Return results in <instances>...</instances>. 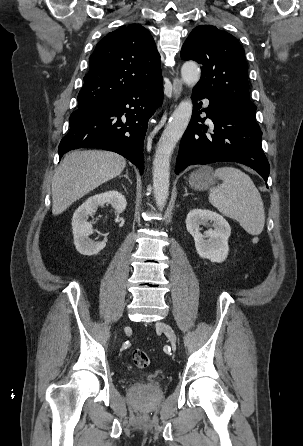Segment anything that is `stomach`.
I'll list each match as a JSON object with an SVG mask.
<instances>
[{
	"mask_svg": "<svg viewBox=\"0 0 303 446\" xmlns=\"http://www.w3.org/2000/svg\"><path fill=\"white\" fill-rule=\"evenodd\" d=\"M216 183V177L210 167H202L193 172L189 177V184L196 190H207Z\"/></svg>",
	"mask_w": 303,
	"mask_h": 446,
	"instance_id": "1",
	"label": "stomach"
}]
</instances>
